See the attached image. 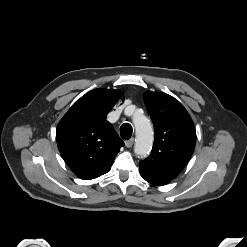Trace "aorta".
<instances>
[{
  "label": "aorta",
  "mask_w": 247,
  "mask_h": 247,
  "mask_svg": "<svg viewBox=\"0 0 247 247\" xmlns=\"http://www.w3.org/2000/svg\"><path fill=\"white\" fill-rule=\"evenodd\" d=\"M133 124L136 130V143L134 152L141 157H146L152 147L154 140L153 128L150 120L143 114H133Z\"/></svg>",
  "instance_id": "obj_1"
}]
</instances>
